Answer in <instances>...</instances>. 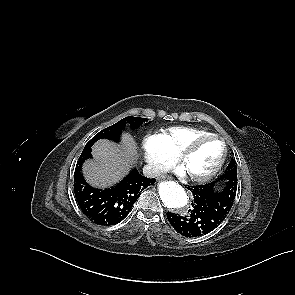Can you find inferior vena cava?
Returning <instances> with one entry per match:
<instances>
[{
    "label": "inferior vena cava",
    "mask_w": 295,
    "mask_h": 295,
    "mask_svg": "<svg viewBox=\"0 0 295 295\" xmlns=\"http://www.w3.org/2000/svg\"><path fill=\"white\" fill-rule=\"evenodd\" d=\"M162 173L163 168L160 165L148 164L143 168V174L149 178L157 177Z\"/></svg>",
    "instance_id": "602c4592"
}]
</instances>
